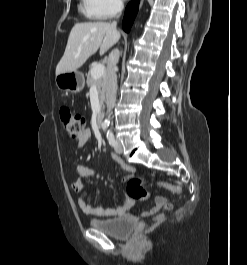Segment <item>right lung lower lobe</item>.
<instances>
[{
    "instance_id": "right-lung-lower-lobe-1",
    "label": "right lung lower lobe",
    "mask_w": 247,
    "mask_h": 265,
    "mask_svg": "<svg viewBox=\"0 0 247 265\" xmlns=\"http://www.w3.org/2000/svg\"><path fill=\"white\" fill-rule=\"evenodd\" d=\"M137 11H138V0H133L127 5L125 9V15L122 22V27L125 32L130 31L131 25L134 21Z\"/></svg>"
}]
</instances>
